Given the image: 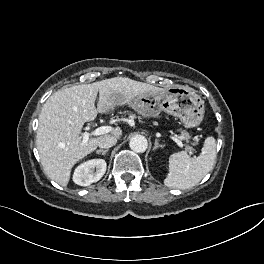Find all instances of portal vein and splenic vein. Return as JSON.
<instances>
[{"mask_svg":"<svg viewBox=\"0 0 264 264\" xmlns=\"http://www.w3.org/2000/svg\"><path fill=\"white\" fill-rule=\"evenodd\" d=\"M112 131H113V128L110 127V126H101V127L95 129L94 131H92L90 133L89 132H83L82 133V138H83L82 145H85L86 142L89 140V138L92 137V136H99V135H103V134H106V133H110ZM171 139L173 141H175L178 144L179 147H181V148L184 147L182 141L178 137L171 136ZM188 153L190 155H194V152L191 151V150H189Z\"/></svg>","mask_w":264,"mask_h":264,"instance_id":"18ae733b","label":"portal vein and splenic vein"}]
</instances>
